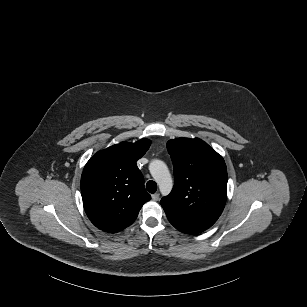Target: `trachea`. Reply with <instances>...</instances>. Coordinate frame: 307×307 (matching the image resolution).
Segmentation results:
<instances>
[{
  "mask_svg": "<svg viewBox=\"0 0 307 307\" xmlns=\"http://www.w3.org/2000/svg\"><path fill=\"white\" fill-rule=\"evenodd\" d=\"M146 189L148 190V192L153 194L157 191V184L155 183V181L150 180L146 183Z\"/></svg>",
  "mask_w": 307,
  "mask_h": 307,
  "instance_id": "3493384b",
  "label": "trachea"
}]
</instances>
